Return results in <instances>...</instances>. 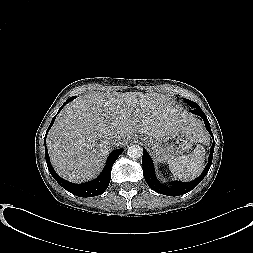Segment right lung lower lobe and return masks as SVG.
I'll return each instance as SVG.
<instances>
[{
    "label": "right lung lower lobe",
    "mask_w": 253,
    "mask_h": 253,
    "mask_svg": "<svg viewBox=\"0 0 253 253\" xmlns=\"http://www.w3.org/2000/svg\"><path fill=\"white\" fill-rule=\"evenodd\" d=\"M74 98H76V97L73 96V97L69 98L61 106L58 113L61 111V109L67 103H69ZM55 117L56 116L53 117L52 122H51L47 132L49 131L52 124L54 123ZM47 132H46V135H47ZM46 135H45V157H46L47 166H48V169H49L51 175L53 176V178L64 189H66L67 191H69V192H71L74 195L79 196V197L97 196V195L102 194L107 189V187L110 183L112 166L115 163V161L117 160V158L119 157V155L123 152V149H117V150H114L112 153H110L103 171L101 172V174L95 180L89 181V182L83 183V184H73V183H70V182L62 179L59 175H57V173L52 168L50 160H49L48 150L46 148Z\"/></svg>",
    "instance_id": "1"
}]
</instances>
